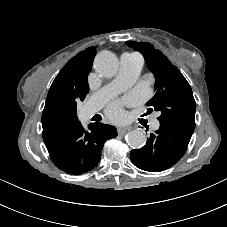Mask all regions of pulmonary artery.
Returning a JSON list of instances; mask_svg holds the SVG:
<instances>
[{
	"instance_id": "pulmonary-artery-1",
	"label": "pulmonary artery",
	"mask_w": 227,
	"mask_h": 227,
	"mask_svg": "<svg viewBox=\"0 0 227 227\" xmlns=\"http://www.w3.org/2000/svg\"><path fill=\"white\" fill-rule=\"evenodd\" d=\"M120 63V70L116 78L93 95L91 105L86 107V116H91L110 97L132 86L139 77L143 66V60L139 55L125 53L121 56ZM159 126L158 119L153 118L151 127L157 130Z\"/></svg>"
}]
</instances>
